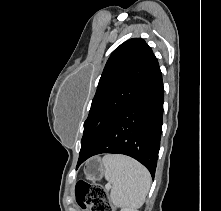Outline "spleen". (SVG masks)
<instances>
[{"label":"spleen","mask_w":221,"mask_h":211,"mask_svg":"<svg viewBox=\"0 0 221 211\" xmlns=\"http://www.w3.org/2000/svg\"><path fill=\"white\" fill-rule=\"evenodd\" d=\"M105 179L112 184L110 199L118 208H139L148 194L151 176L136 160L109 154L102 159Z\"/></svg>","instance_id":"spleen-1"}]
</instances>
